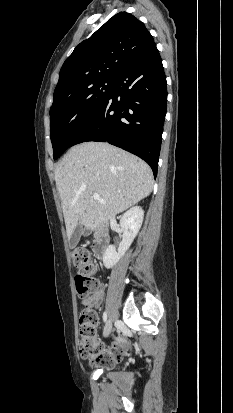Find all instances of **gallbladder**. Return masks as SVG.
Instances as JSON below:
<instances>
[{
	"instance_id": "obj_1",
	"label": "gallbladder",
	"mask_w": 233,
	"mask_h": 413,
	"mask_svg": "<svg viewBox=\"0 0 233 413\" xmlns=\"http://www.w3.org/2000/svg\"><path fill=\"white\" fill-rule=\"evenodd\" d=\"M83 234H85V231L81 226H77L69 240V246L75 248Z\"/></svg>"
}]
</instances>
